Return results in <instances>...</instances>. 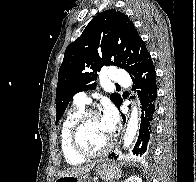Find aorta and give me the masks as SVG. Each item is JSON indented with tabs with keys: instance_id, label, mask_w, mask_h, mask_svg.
I'll use <instances>...</instances> for the list:
<instances>
[{
	"instance_id": "1",
	"label": "aorta",
	"mask_w": 196,
	"mask_h": 182,
	"mask_svg": "<svg viewBox=\"0 0 196 182\" xmlns=\"http://www.w3.org/2000/svg\"><path fill=\"white\" fill-rule=\"evenodd\" d=\"M138 123H139L138 108L136 105H134L132 107L131 117L128 121L126 131L124 134V142H123L124 148H128L132 144L138 131Z\"/></svg>"
}]
</instances>
